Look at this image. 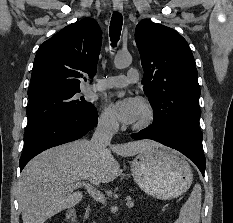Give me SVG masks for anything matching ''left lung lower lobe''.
I'll use <instances>...</instances> for the list:
<instances>
[{"label": "left lung lower lobe", "mask_w": 233, "mask_h": 223, "mask_svg": "<svg viewBox=\"0 0 233 223\" xmlns=\"http://www.w3.org/2000/svg\"><path fill=\"white\" fill-rule=\"evenodd\" d=\"M131 137L136 140L152 139L180 151L195 163L204 176L206 160L202 146L203 134L199 126L152 124L139 133L132 134Z\"/></svg>", "instance_id": "left-lung-lower-lobe-1"}]
</instances>
